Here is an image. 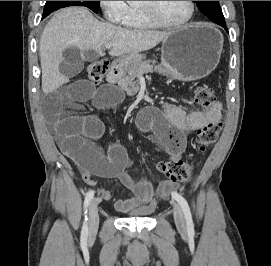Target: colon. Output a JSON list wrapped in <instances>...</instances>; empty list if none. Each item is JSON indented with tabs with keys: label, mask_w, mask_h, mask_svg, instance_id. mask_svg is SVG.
I'll use <instances>...</instances> for the list:
<instances>
[{
	"label": "colon",
	"mask_w": 271,
	"mask_h": 266,
	"mask_svg": "<svg viewBox=\"0 0 271 266\" xmlns=\"http://www.w3.org/2000/svg\"><path fill=\"white\" fill-rule=\"evenodd\" d=\"M108 69V63L105 60H96L88 66V78L92 83H99ZM194 102L207 111L214 108L216 96L214 90L201 85L194 91ZM222 122L219 119L208 121L197 134V144L201 151L215 143L221 133ZM157 171L164 175L168 180L178 182L189 179L192 175V166L180 159H170L162 161L157 165Z\"/></svg>",
	"instance_id": "obj_1"
}]
</instances>
